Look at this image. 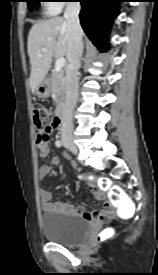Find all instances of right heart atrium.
<instances>
[{"mask_svg": "<svg viewBox=\"0 0 158 275\" xmlns=\"http://www.w3.org/2000/svg\"><path fill=\"white\" fill-rule=\"evenodd\" d=\"M69 0H54L47 4L50 13L58 12Z\"/></svg>", "mask_w": 158, "mask_h": 275, "instance_id": "right-heart-atrium-1", "label": "right heart atrium"}]
</instances>
